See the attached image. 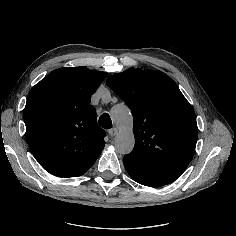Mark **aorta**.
<instances>
[{"instance_id":"aorta-1","label":"aorta","mask_w":236,"mask_h":236,"mask_svg":"<svg viewBox=\"0 0 236 236\" xmlns=\"http://www.w3.org/2000/svg\"><path fill=\"white\" fill-rule=\"evenodd\" d=\"M111 116L119 129L115 137V149L120 154H128L135 144L133 116L130 109L125 104H118L112 108Z\"/></svg>"}]
</instances>
